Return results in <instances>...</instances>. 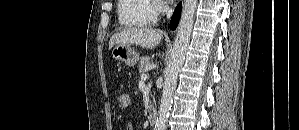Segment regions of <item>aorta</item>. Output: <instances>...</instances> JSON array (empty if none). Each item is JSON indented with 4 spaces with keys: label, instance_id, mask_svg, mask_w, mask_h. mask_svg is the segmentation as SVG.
<instances>
[{
    "label": "aorta",
    "instance_id": "obj_1",
    "mask_svg": "<svg viewBox=\"0 0 299 130\" xmlns=\"http://www.w3.org/2000/svg\"><path fill=\"white\" fill-rule=\"evenodd\" d=\"M197 3L198 0H185L183 3L173 50L165 69L162 99L155 130H166L167 128L168 116L172 106V97L189 45Z\"/></svg>",
    "mask_w": 299,
    "mask_h": 130
}]
</instances>
